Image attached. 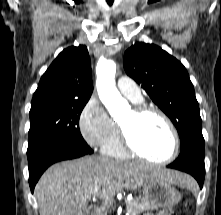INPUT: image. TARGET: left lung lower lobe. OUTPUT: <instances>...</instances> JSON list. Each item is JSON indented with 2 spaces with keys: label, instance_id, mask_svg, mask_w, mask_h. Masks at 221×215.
Instances as JSON below:
<instances>
[{
  "label": "left lung lower lobe",
  "instance_id": "obj_1",
  "mask_svg": "<svg viewBox=\"0 0 221 215\" xmlns=\"http://www.w3.org/2000/svg\"><path fill=\"white\" fill-rule=\"evenodd\" d=\"M205 145L189 144L181 150L179 157L167 167L191 174L203 187L205 178Z\"/></svg>",
  "mask_w": 221,
  "mask_h": 215
}]
</instances>
